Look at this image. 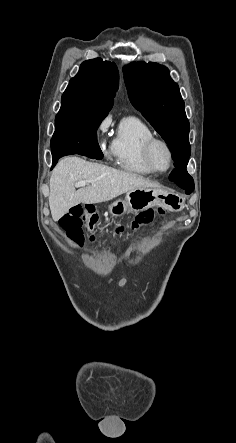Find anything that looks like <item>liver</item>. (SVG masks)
Listing matches in <instances>:
<instances>
[{
  "mask_svg": "<svg viewBox=\"0 0 236 443\" xmlns=\"http://www.w3.org/2000/svg\"><path fill=\"white\" fill-rule=\"evenodd\" d=\"M87 181L91 185L75 190L74 184ZM159 187L136 174L123 172L78 157L59 161L50 178L49 206L54 221L80 203L109 201L135 189Z\"/></svg>",
  "mask_w": 236,
  "mask_h": 443,
  "instance_id": "obj_1",
  "label": "liver"
}]
</instances>
